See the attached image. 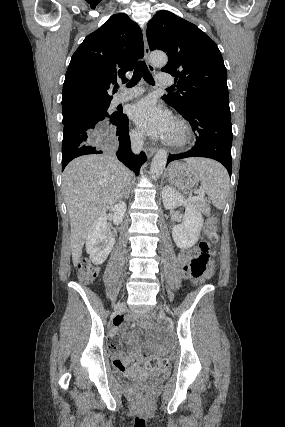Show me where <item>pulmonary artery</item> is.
Listing matches in <instances>:
<instances>
[{
    "label": "pulmonary artery",
    "mask_w": 285,
    "mask_h": 427,
    "mask_svg": "<svg viewBox=\"0 0 285 427\" xmlns=\"http://www.w3.org/2000/svg\"><path fill=\"white\" fill-rule=\"evenodd\" d=\"M157 83L159 85H166V86H170L174 83V79L169 75V74H159L157 76ZM144 92V90L142 88H134V89H130V90H125L120 92V94H118L114 101L116 104L121 103V102H125V101H129L139 95H141Z\"/></svg>",
    "instance_id": "pulmonary-artery-1"
}]
</instances>
